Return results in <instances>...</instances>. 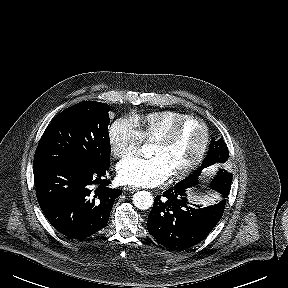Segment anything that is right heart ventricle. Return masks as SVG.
I'll return each mask as SVG.
<instances>
[{"label":"right heart ventricle","instance_id":"1","mask_svg":"<svg viewBox=\"0 0 288 288\" xmlns=\"http://www.w3.org/2000/svg\"><path fill=\"white\" fill-rule=\"evenodd\" d=\"M189 116L186 113L175 110L151 112L143 116L134 117L143 139L154 141L164 133L171 125Z\"/></svg>","mask_w":288,"mask_h":288}]
</instances>
